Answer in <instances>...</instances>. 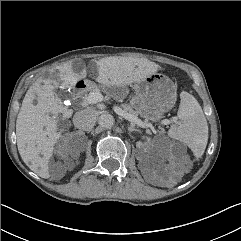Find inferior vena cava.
Here are the masks:
<instances>
[{
    "label": "inferior vena cava",
    "mask_w": 241,
    "mask_h": 241,
    "mask_svg": "<svg viewBox=\"0 0 241 241\" xmlns=\"http://www.w3.org/2000/svg\"><path fill=\"white\" fill-rule=\"evenodd\" d=\"M97 114L94 109H83L75 113L74 126L83 131H90L96 123Z\"/></svg>",
    "instance_id": "obj_1"
}]
</instances>
